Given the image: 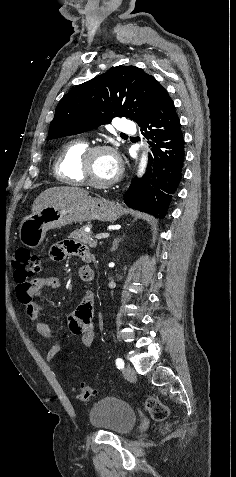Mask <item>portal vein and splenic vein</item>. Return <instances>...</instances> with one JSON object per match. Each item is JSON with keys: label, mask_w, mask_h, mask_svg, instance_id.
<instances>
[{"label": "portal vein and splenic vein", "mask_w": 236, "mask_h": 477, "mask_svg": "<svg viewBox=\"0 0 236 477\" xmlns=\"http://www.w3.org/2000/svg\"><path fill=\"white\" fill-rule=\"evenodd\" d=\"M109 236H110L109 233H100V234H97L95 238L100 240V239L108 238Z\"/></svg>", "instance_id": "portal-vein-and-splenic-vein-1"}]
</instances>
